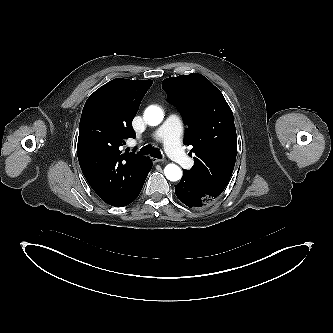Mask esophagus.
<instances>
[{
  "mask_svg": "<svg viewBox=\"0 0 333 333\" xmlns=\"http://www.w3.org/2000/svg\"><path fill=\"white\" fill-rule=\"evenodd\" d=\"M151 161H152L153 163L165 162L164 159H159V158H155V157H151Z\"/></svg>",
  "mask_w": 333,
  "mask_h": 333,
  "instance_id": "obj_1",
  "label": "esophagus"
}]
</instances>
